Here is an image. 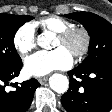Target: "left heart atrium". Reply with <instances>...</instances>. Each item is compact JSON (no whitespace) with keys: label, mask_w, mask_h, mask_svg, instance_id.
<instances>
[{"label":"left heart atrium","mask_w":112,"mask_h":112,"mask_svg":"<svg viewBox=\"0 0 112 112\" xmlns=\"http://www.w3.org/2000/svg\"><path fill=\"white\" fill-rule=\"evenodd\" d=\"M72 65V55L64 47L53 51H39L24 61L26 74L30 76H43L54 70L67 69Z\"/></svg>","instance_id":"left-heart-atrium-1"}]
</instances>
